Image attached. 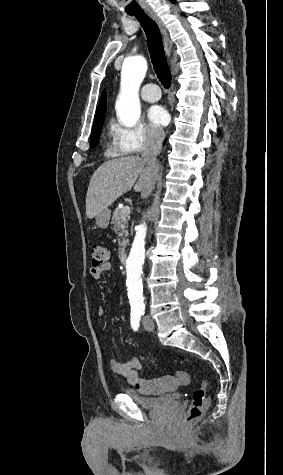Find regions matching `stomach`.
I'll return each instance as SVG.
<instances>
[{"mask_svg":"<svg viewBox=\"0 0 283 475\" xmlns=\"http://www.w3.org/2000/svg\"><path fill=\"white\" fill-rule=\"evenodd\" d=\"M111 218V210H102L98 216H95L96 224L98 228H107L109 220Z\"/></svg>","mask_w":283,"mask_h":475,"instance_id":"stomach-1","label":"stomach"}]
</instances>
